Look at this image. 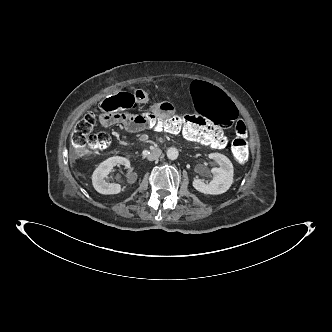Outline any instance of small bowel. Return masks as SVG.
Listing matches in <instances>:
<instances>
[{
	"label": "small bowel",
	"mask_w": 332,
	"mask_h": 332,
	"mask_svg": "<svg viewBox=\"0 0 332 332\" xmlns=\"http://www.w3.org/2000/svg\"><path fill=\"white\" fill-rule=\"evenodd\" d=\"M137 104L145 105L149 101L148 94L143 90H137ZM155 115L166 117L169 114H173L174 106L170 102H156L151 108ZM97 122L101 126L106 127H124V129L130 133H139L148 129L142 124V117L140 114L131 111H115L109 113H101L97 117Z\"/></svg>",
	"instance_id": "obj_1"
}]
</instances>
